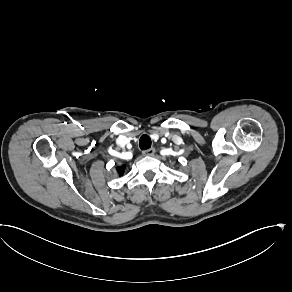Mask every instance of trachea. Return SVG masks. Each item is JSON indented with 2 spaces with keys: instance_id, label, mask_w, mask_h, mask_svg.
Instances as JSON below:
<instances>
[{
  "instance_id": "3493384b",
  "label": "trachea",
  "mask_w": 292,
  "mask_h": 292,
  "mask_svg": "<svg viewBox=\"0 0 292 292\" xmlns=\"http://www.w3.org/2000/svg\"><path fill=\"white\" fill-rule=\"evenodd\" d=\"M152 145L151 138L147 134H143L139 140L140 149H149Z\"/></svg>"
}]
</instances>
